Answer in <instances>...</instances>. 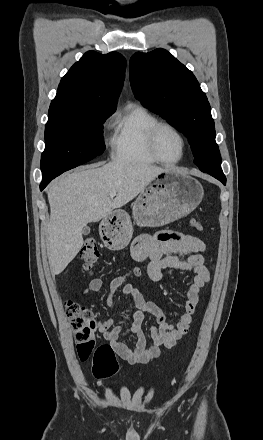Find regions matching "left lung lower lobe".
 I'll return each mask as SVG.
<instances>
[{
  "instance_id": "obj_1",
  "label": "left lung lower lobe",
  "mask_w": 263,
  "mask_h": 440,
  "mask_svg": "<svg viewBox=\"0 0 263 440\" xmlns=\"http://www.w3.org/2000/svg\"><path fill=\"white\" fill-rule=\"evenodd\" d=\"M210 175H212L216 179L220 180L224 185L226 184V177L223 173H213Z\"/></svg>"
}]
</instances>
